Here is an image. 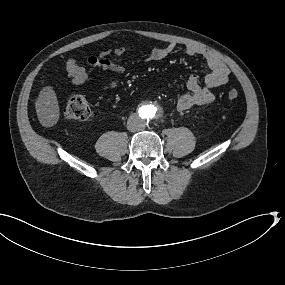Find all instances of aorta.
I'll return each instance as SVG.
<instances>
[{
	"mask_svg": "<svg viewBox=\"0 0 285 285\" xmlns=\"http://www.w3.org/2000/svg\"><path fill=\"white\" fill-rule=\"evenodd\" d=\"M163 106L158 101H149L141 108V115L145 119L158 120L163 115Z\"/></svg>",
	"mask_w": 285,
	"mask_h": 285,
	"instance_id": "obj_1",
	"label": "aorta"
}]
</instances>
